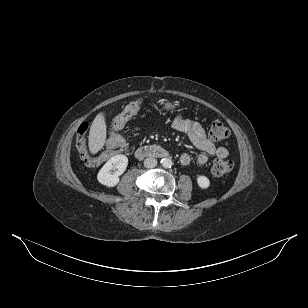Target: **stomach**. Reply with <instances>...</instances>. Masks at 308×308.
I'll return each instance as SVG.
<instances>
[{
	"label": "stomach",
	"mask_w": 308,
	"mask_h": 308,
	"mask_svg": "<svg viewBox=\"0 0 308 308\" xmlns=\"http://www.w3.org/2000/svg\"><path fill=\"white\" fill-rule=\"evenodd\" d=\"M175 106H176V103L174 101L167 100L163 102V108L166 110L174 109Z\"/></svg>",
	"instance_id": "obj_1"
}]
</instances>
